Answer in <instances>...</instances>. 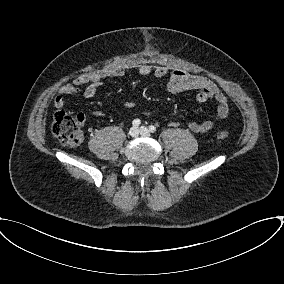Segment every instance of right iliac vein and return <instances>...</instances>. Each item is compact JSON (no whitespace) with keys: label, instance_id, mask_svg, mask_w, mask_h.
Returning <instances> with one entry per match:
<instances>
[{"label":"right iliac vein","instance_id":"obj_1","mask_svg":"<svg viewBox=\"0 0 284 284\" xmlns=\"http://www.w3.org/2000/svg\"><path fill=\"white\" fill-rule=\"evenodd\" d=\"M131 137H137L139 135V130L137 127H132L129 131Z\"/></svg>","mask_w":284,"mask_h":284}]
</instances>
